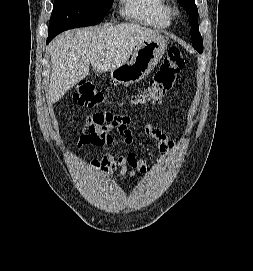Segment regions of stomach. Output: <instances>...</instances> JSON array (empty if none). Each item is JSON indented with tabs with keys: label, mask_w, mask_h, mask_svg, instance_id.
<instances>
[{
	"label": "stomach",
	"mask_w": 253,
	"mask_h": 271,
	"mask_svg": "<svg viewBox=\"0 0 253 271\" xmlns=\"http://www.w3.org/2000/svg\"><path fill=\"white\" fill-rule=\"evenodd\" d=\"M167 49V40L161 35L143 39L131 59L111 70L114 82L130 85L145 78L157 65Z\"/></svg>",
	"instance_id": "0dacf381"
}]
</instances>
